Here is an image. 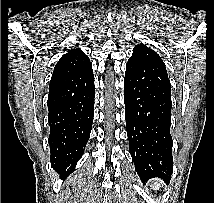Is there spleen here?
I'll list each match as a JSON object with an SVG mask.
<instances>
[{
	"instance_id": "spleen-1",
	"label": "spleen",
	"mask_w": 214,
	"mask_h": 203,
	"mask_svg": "<svg viewBox=\"0 0 214 203\" xmlns=\"http://www.w3.org/2000/svg\"><path fill=\"white\" fill-rule=\"evenodd\" d=\"M153 183H154V189L155 190H157V189H159L161 186H162V182H161V180H159V179H155L154 181H153Z\"/></svg>"
}]
</instances>
